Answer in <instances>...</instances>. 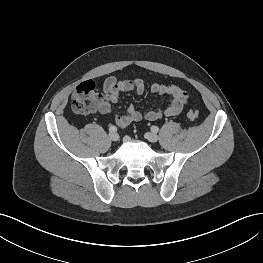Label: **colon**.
Returning a JSON list of instances; mask_svg holds the SVG:
<instances>
[{"instance_id": "colon-1", "label": "colon", "mask_w": 263, "mask_h": 263, "mask_svg": "<svg viewBox=\"0 0 263 263\" xmlns=\"http://www.w3.org/2000/svg\"><path fill=\"white\" fill-rule=\"evenodd\" d=\"M100 93L96 84L91 81H85L80 83L71 99V109L74 113L84 114L90 113L95 110L96 103L99 99ZM199 113L196 109H191L188 111V117L191 120L197 119Z\"/></svg>"}]
</instances>
